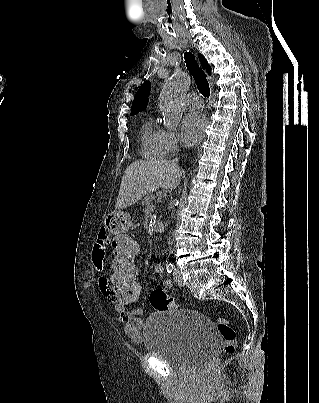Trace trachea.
Here are the masks:
<instances>
[{
	"mask_svg": "<svg viewBox=\"0 0 319 403\" xmlns=\"http://www.w3.org/2000/svg\"><path fill=\"white\" fill-rule=\"evenodd\" d=\"M184 59L187 69L192 74L199 92L204 97L208 98L210 96L209 84L206 79L205 73L201 70L198 63L196 62L195 56L191 52H185Z\"/></svg>",
	"mask_w": 319,
	"mask_h": 403,
	"instance_id": "1",
	"label": "trachea"
}]
</instances>
